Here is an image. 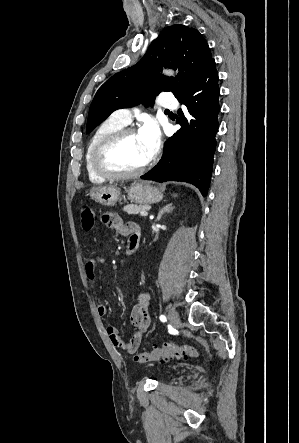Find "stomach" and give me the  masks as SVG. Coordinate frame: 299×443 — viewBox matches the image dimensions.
I'll return each mask as SVG.
<instances>
[{
    "label": "stomach",
    "instance_id": "0dacf381",
    "mask_svg": "<svg viewBox=\"0 0 299 443\" xmlns=\"http://www.w3.org/2000/svg\"><path fill=\"white\" fill-rule=\"evenodd\" d=\"M126 192L130 201L141 205L159 202L163 197L159 188L147 182H135ZM89 195L95 202L104 206H113L121 198L120 189L113 185L93 187L90 189Z\"/></svg>",
    "mask_w": 299,
    "mask_h": 443
}]
</instances>
